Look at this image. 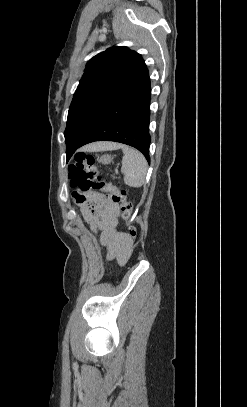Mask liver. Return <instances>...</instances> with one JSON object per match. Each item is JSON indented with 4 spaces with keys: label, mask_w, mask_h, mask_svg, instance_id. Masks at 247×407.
I'll return each mask as SVG.
<instances>
[{
    "label": "liver",
    "mask_w": 247,
    "mask_h": 407,
    "mask_svg": "<svg viewBox=\"0 0 247 407\" xmlns=\"http://www.w3.org/2000/svg\"><path fill=\"white\" fill-rule=\"evenodd\" d=\"M118 147H120V145L117 143L99 142V143H95V144H92V145L86 147V149L100 151V150H112V149H116Z\"/></svg>",
    "instance_id": "1"
}]
</instances>
